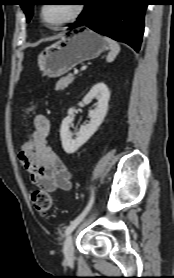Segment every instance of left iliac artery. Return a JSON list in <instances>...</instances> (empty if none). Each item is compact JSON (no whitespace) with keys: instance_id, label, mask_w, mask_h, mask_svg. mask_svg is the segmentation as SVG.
Wrapping results in <instances>:
<instances>
[{"instance_id":"left-iliac-artery-1","label":"left iliac artery","mask_w":174,"mask_h":278,"mask_svg":"<svg viewBox=\"0 0 174 278\" xmlns=\"http://www.w3.org/2000/svg\"><path fill=\"white\" fill-rule=\"evenodd\" d=\"M94 201V191H92V195L90 198V201L88 203V205L86 206V208L83 210V212L76 218L74 219L69 226L67 227L66 231H65V236L69 235L74 228L84 219V217L86 216V214L88 213V211L90 210L92 204Z\"/></svg>"}]
</instances>
